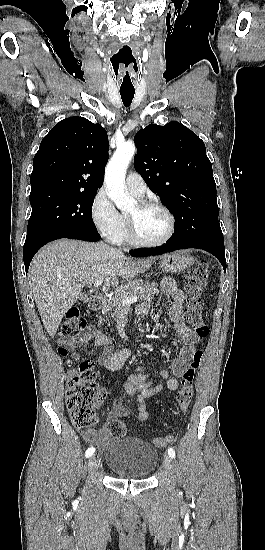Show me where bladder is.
Returning <instances> with one entry per match:
<instances>
[{
	"label": "bladder",
	"mask_w": 265,
	"mask_h": 550,
	"mask_svg": "<svg viewBox=\"0 0 265 550\" xmlns=\"http://www.w3.org/2000/svg\"><path fill=\"white\" fill-rule=\"evenodd\" d=\"M105 463L115 475L144 479L155 469L159 454L150 443L135 437H112L104 454Z\"/></svg>",
	"instance_id": "bladder-1"
}]
</instances>
